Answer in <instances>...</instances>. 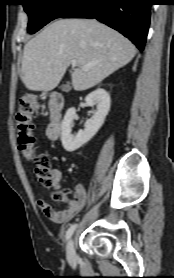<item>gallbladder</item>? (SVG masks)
Here are the masks:
<instances>
[{
    "label": "gallbladder",
    "mask_w": 174,
    "mask_h": 278,
    "mask_svg": "<svg viewBox=\"0 0 174 278\" xmlns=\"http://www.w3.org/2000/svg\"><path fill=\"white\" fill-rule=\"evenodd\" d=\"M61 89H62V91H68L70 89V86L68 84H66V85H63Z\"/></svg>",
    "instance_id": "obj_1"
}]
</instances>
